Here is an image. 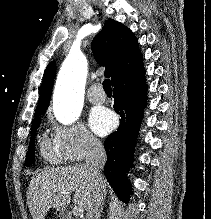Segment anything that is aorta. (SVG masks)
<instances>
[{
    "instance_id": "762f6f07",
    "label": "aorta",
    "mask_w": 211,
    "mask_h": 219,
    "mask_svg": "<svg viewBox=\"0 0 211 219\" xmlns=\"http://www.w3.org/2000/svg\"><path fill=\"white\" fill-rule=\"evenodd\" d=\"M87 76V61L83 54L71 52L60 69L54 92L57 119L70 124L81 114Z\"/></svg>"
}]
</instances>
